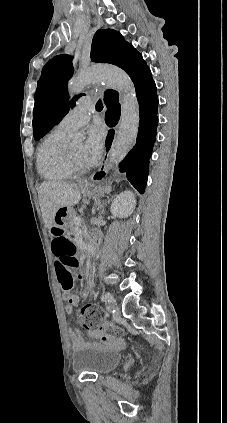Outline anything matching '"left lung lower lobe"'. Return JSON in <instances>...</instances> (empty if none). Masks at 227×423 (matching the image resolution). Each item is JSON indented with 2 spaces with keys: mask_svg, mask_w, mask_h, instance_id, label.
Here are the masks:
<instances>
[{
  "mask_svg": "<svg viewBox=\"0 0 227 423\" xmlns=\"http://www.w3.org/2000/svg\"><path fill=\"white\" fill-rule=\"evenodd\" d=\"M135 88L139 102L140 117L138 135L135 146L120 164V170L130 183L143 194L158 124V97L151 72L145 75ZM119 117L120 106L115 105L109 108L105 116L107 125L114 127Z\"/></svg>",
  "mask_w": 227,
  "mask_h": 423,
  "instance_id": "left-lung-lower-lobe-1",
  "label": "left lung lower lobe"
}]
</instances>
